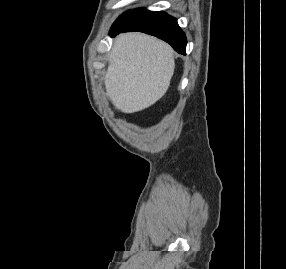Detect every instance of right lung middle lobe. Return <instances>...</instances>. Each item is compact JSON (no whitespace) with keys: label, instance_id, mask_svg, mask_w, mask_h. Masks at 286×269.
I'll use <instances>...</instances> for the list:
<instances>
[{"label":"right lung middle lobe","instance_id":"obj_1","mask_svg":"<svg viewBox=\"0 0 286 269\" xmlns=\"http://www.w3.org/2000/svg\"><path fill=\"white\" fill-rule=\"evenodd\" d=\"M146 12H148V10L145 9H135V10H131L128 11L126 13H124L122 16H120L112 25V29H118V28H122L127 26L128 24H130L131 22H133L134 20H136L138 17L142 16L143 14H145Z\"/></svg>","mask_w":286,"mask_h":269}]
</instances>
